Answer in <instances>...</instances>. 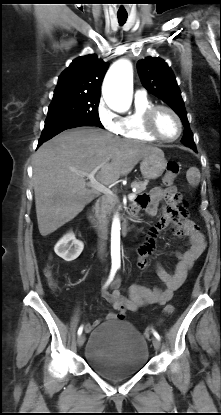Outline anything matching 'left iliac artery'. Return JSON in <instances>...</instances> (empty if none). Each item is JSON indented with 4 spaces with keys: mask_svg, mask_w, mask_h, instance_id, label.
Wrapping results in <instances>:
<instances>
[{
    "mask_svg": "<svg viewBox=\"0 0 221 415\" xmlns=\"http://www.w3.org/2000/svg\"><path fill=\"white\" fill-rule=\"evenodd\" d=\"M153 334H154V336H155L157 339H159V340H160V335L158 334V332L153 331Z\"/></svg>",
    "mask_w": 221,
    "mask_h": 415,
    "instance_id": "obj_1",
    "label": "left iliac artery"
}]
</instances>
